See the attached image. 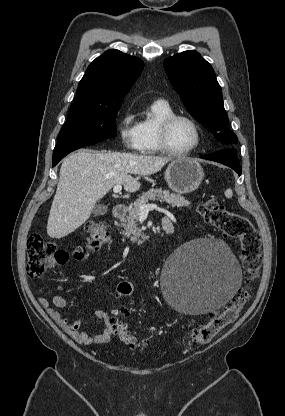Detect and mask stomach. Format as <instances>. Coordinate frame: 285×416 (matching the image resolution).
Masks as SVG:
<instances>
[{
    "instance_id": "stomach-1",
    "label": "stomach",
    "mask_w": 285,
    "mask_h": 416,
    "mask_svg": "<svg viewBox=\"0 0 285 416\" xmlns=\"http://www.w3.org/2000/svg\"><path fill=\"white\" fill-rule=\"evenodd\" d=\"M203 168L194 158H176L165 172V180L177 194H190L199 188L203 180Z\"/></svg>"
}]
</instances>
